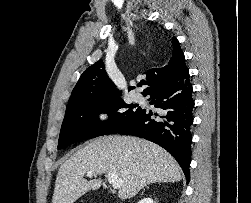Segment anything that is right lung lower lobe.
Segmentation results:
<instances>
[{
    "mask_svg": "<svg viewBox=\"0 0 251 203\" xmlns=\"http://www.w3.org/2000/svg\"><path fill=\"white\" fill-rule=\"evenodd\" d=\"M187 67L153 86L150 103L157 113L140 111L116 133L145 138L166 149L181 166L187 181L190 177L194 100ZM115 133V134H116Z\"/></svg>",
    "mask_w": 251,
    "mask_h": 203,
    "instance_id": "98d812e1",
    "label": "right lung lower lobe"
}]
</instances>
